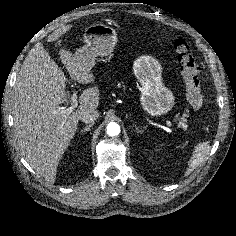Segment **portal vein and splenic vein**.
<instances>
[{"instance_id":"obj_1","label":"portal vein and splenic vein","mask_w":236,"mask_h":236,"mask_svg":"<svg viewBox=\"0 0 236 236\" xmlns=\"http://www.w3.org/2000/svg\"><path fill=\"white\" fill-rule=\"evenodd\" d=\"M78 106L77 103V95L76 92H74L71 96V105L69 107H61L60 111L62 114H70L76 107ZM165 123L168 127H172V122L169 120H165ZM179 125L182 127H187V125L184 122H179Z\"/></svg>"}]
</instances>
